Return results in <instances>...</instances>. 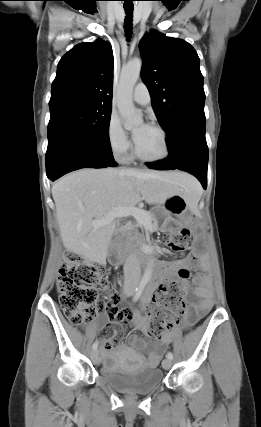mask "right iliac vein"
I'll return each mask as SVG.
<instances>
[{
  "instance_id": "63e3f726",
  "label": "right iliac vein",
  "mask_w": 261,
  "mask_h": 427,
  "mask_svg": "<svg viewBox=\"0 0 261 427\" xmlns=\"http://www.w3.org/2000/svg\"><path fill=\"white\" fill-rule=\"evenodd\" d=\"M132 291H128L126 294L129 296V295H132ZM91 359H92V361L94 362V363H98L99 362V357H98V352H97V350H93L92 351V353H91Z\"/></svg>"
}]
</instances>
